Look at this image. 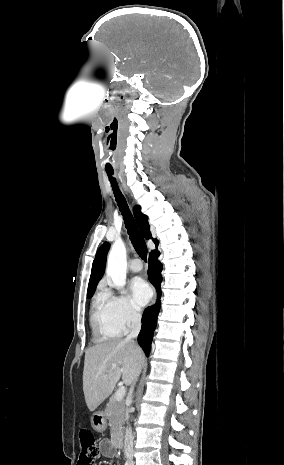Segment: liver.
<instances>
[{"mask_svg":"<svg viewBox=\"0 0 284 465\" xmlns=\"http://www.w3.org/2000/svg\"><path fill=\"white\" fill-rule=\"evenodd\" d=\"M144 359L145 355L135 341L126 339H109L89 347L83 371V391L89 411H95L111 395L120 377L125 385H131ZM115 365L116 369L109 371Z\"/></svg>","mask_w":284,"mask_h":465,"instance_id":"1","label":"liver"}]
</instances>
